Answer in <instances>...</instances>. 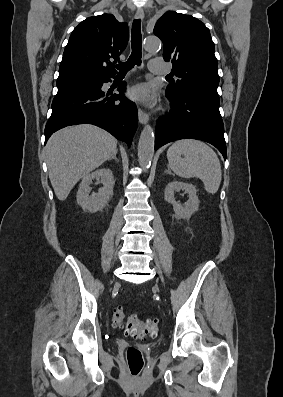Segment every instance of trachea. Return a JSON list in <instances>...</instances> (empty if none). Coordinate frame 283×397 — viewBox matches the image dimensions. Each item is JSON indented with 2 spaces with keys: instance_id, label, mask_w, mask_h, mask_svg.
Wrapping results in <instances>:
<instances>
[{
  "instance_id": "1",
  "label": "trachea",
  "mask_w": 283,
  "mask_h": 397,
  "mask_svg": "<svg viewBox=\"0 0 283 397\" xmlns=\"http://www.w3.org/2000/svg\"><path fill=\"white\" fill-rule=\"evenodd\" d=\"M132 53L126 62H120L116 65L119 70L118 75H125L135 65H141L142 57V36H141V20L136 19L132 24L131 32Z\"/></svg>"
}]
</instances>
